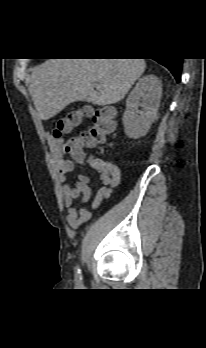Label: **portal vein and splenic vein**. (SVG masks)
I'll return each mask as SVG.
<instances>
[{"instance_id":"portal-vein-and-splenic-vein-1","label":"portal vein and splenic vein","mask_w":206,"mask_h":348,"mask_svg":"<svg viewBox=\"0 0 206 348\" xmlns=\"http://www.w3.org/2000/svg\"><path fill=\"white\" fill-rule=\"evenodd\" d=\"M95 87H99V84H98V83H96V84H95Z\"/></svg>"}]
</instances>
